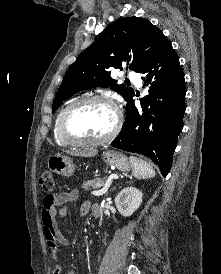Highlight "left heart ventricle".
<instances>
[{"instance_id": "left-heart-ventricle-1", "label": "left heart ventricle", "mask_w": 221, "mask_h": 274, "mask_svg": "<svg viewBox=\"0 0 221 274\" xmlns=\"http://www.w3.org/2000/svg\"><path fill=\"white\" fill-rule=\"evenodd\" d=\"M115 114L104 103H88L75 108L68 117V129L74 136L99 138L105 136L113 127Z\"/></svg>"}]
</instances>
